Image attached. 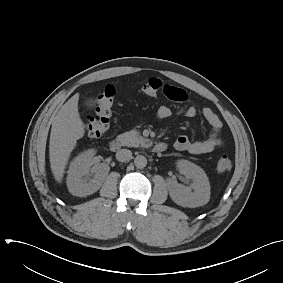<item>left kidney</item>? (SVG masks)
Returning a JSON list of instances; mask_svg holds the SVG:
<instances>
[{"instance_id": "left-kidney-1", "label": "left kidney", "mask_w": 283, "mask_h": 283, "mask_svg": "<svg viewBox=\"0 0 283 283\" xmlns=\"http://www.w3.org/2000/svg\"><path fill=\"white\" fill-rule=\"evenodd\" d=\"M177 167L183 175L192 179L193 183L187 187L175 180H168L171 199L180 206L190 208L207 204L210 199V183L203 169L187 160H179Z\"/></svg>"}]
</instances>
